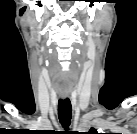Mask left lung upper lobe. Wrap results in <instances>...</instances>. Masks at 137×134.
Instances as JSON below:
<instances>
[{
    "label": "left lung upper lobe",
    "mask_w": 137,
    "mask_h": 134,
    "mask_svg": "<svg viewBox=\"0 0 137 134\" xmlns=\"http://www.w3.org/2000/svg\"><path fill=\"white\" fill-rule=\"evenodd\" d=\"M89 133H91V134H97V131H96V129L91 128L90 131H89Z\"/></svg>",
    "instance_id": "obj_1"
}]
</instances>
